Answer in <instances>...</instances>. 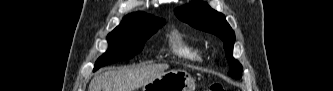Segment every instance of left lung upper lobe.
<instances>
[{"mask_svg": "<svg viewBox=\"0 0 333 91\" xmlns=\"http://www.w3.org/2000/svg\"><path fill=\"white\" fill-rule=\"evenodd\" d=\"M175 14L192 27L220 37L224 42L226 58L230 65L228 74L236 79L241 77L242 66L232 56L235 34L222 13L213 10L205 2L197 1L177 8Z\"/></svg>", "mask_w": 333, "mask_h": 91, "instance_id": "left-lung-upper-lobe-1", "label": "left lung upper lobe"}]
</instances>
